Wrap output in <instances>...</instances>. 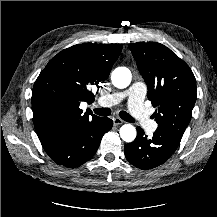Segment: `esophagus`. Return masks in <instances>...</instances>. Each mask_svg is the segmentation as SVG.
<instances>
[{"label":"esophagus","mask_w":217,"mask_h":217,"mask_svg":"<svg viewBox=\"0 0 217 217\" xmlns=\"http://www.w3.org/2000/svg\"><path fill=\"white\" fill-rule=\"evenodd\" d=\"M113 123H114L115 126H117V125L123 124L124 121L122 119L118 118V117H115V118H113Z\"/></svg>","instance_id":"34e87169"}]
</instances>
